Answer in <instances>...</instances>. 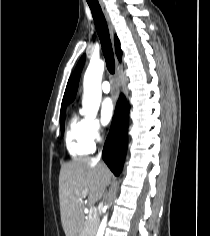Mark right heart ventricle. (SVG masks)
I'll use <instances>...</instances> for the list:
<instances>
[{
	"mask_svg": "<svg viewBox=\"0 0 210 236\" xmlns=\"http://www.w3.org/2000/svg\"><path fill=\"white\" fill-rule=\"evenodd\" d=\"M88 120L73 112L66 125L65 145L68 153L76 158L86 156L94 151V141L87 130Z\"/></svg>",
	"mask_w": 210,
	"mask_h": 236,
	"instance_id": "1",
	"label": "right heart ventricle"
}]
</instances>
